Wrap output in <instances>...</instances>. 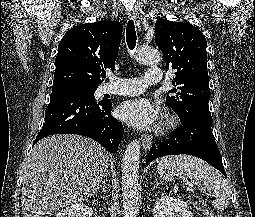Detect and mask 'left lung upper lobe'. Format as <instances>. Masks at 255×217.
I'll list each match as a JSON object with an SVG mask.
<instances>
[{"label":"left lung upper lobe","mask_w":255,"mask_h":217,"mask_svg":"<svg viewBox=\"0 0 255 217\" xmlns=\"http://www.w3.org/2000/svg\"><path fill=\"white\" fill-rule=\"evenodd\" d=\"M155 42L164 54L167 67L175 69L174 89L166 103L180 120L203 113L210 115L207 71V42L203 33L187 22L161 18L155 23Z\"/></svg>","instance_id":"obj_1"}]
</instances>
